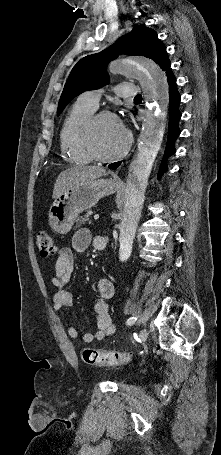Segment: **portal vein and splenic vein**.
<instances>
[{
  "label": "portal vein and splenic vein",
  "mask_w": 221,
  "mask_h": 455,
  "mask_svg": "<svg viewBox=\"0 0 221 455\" xmlns=\"http://www.w3.org/2000/svg\"><path fill=\"white\" fill-rule=\"evenodd\" d=\"M94 219L98 220L99 219V215L98 214L94 215Z\"/></svg>",
  "instance_id": "1"
}]
</instances>
